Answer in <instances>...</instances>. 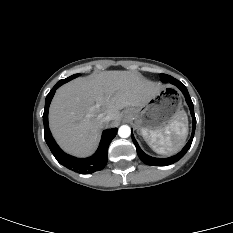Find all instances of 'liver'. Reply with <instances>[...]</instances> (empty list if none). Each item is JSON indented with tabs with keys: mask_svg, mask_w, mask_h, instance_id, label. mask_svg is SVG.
<instances>
[{
	"mask_svg": "<svg viewBox=\"0 0 233 233\" xmlns=\"http://www.w3.org/2000/svg\"><path fill=\"white\" fill-rule=\"evenodd\" d=\"M160 90L158 84L130 71L75 79L56 91L49 109L51 132L66 152L89 156L97 147L100 129L118 125L121 109L143 105ZM100 114L109 122L101 124Z\"/></svg>",
	"mask_w": 233,
	"mask_h": 233,
	"instance_id": "1",
	"label": "liver"
}]
</instances>
